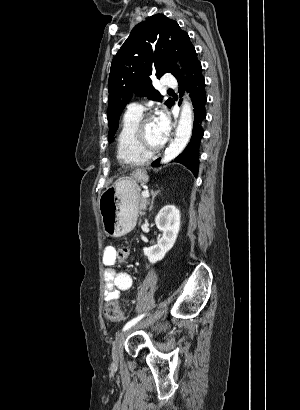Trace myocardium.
I'll use <instances>...</instances> for the list:
<instances>
[{"mask_svg": "<svg viewBox=\"0 0 300 410\" xmlns=\"http://www.w3.org/2000/svg\"><path fill=\"white\" fill-rule=\"evenodd\" d=\"M151 119L152 117L149 115L142 116L135 125L133 134L134 142L138 149L148 155L161 151L166 144V140L157 146H152L147 143L144 133V126Z\"/></svg>", "mask_w": 300, "mask_h": 410, "instance_id": "1", "label": "myocardium"}]
</instances>
